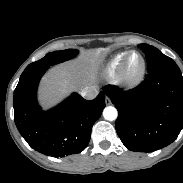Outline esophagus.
Returning <instances> with one entry per match:
<instances>
[{
	"label": "esophagus",
	"mask_w": 183,
	"mask_h": 183,
	"mask_svg": "<svg viewBox=\"0 0 183 183\" xmlns=\"http://www.w3.org/2000/svg\"><path fill=\"white\" fill-rule=\"evenodd\" d=\"M105 103H106V105H110L111 104V100H110V98L108 96H106Z\"/></svg>",
	"instance_id": "obj_1"
}]
</instances>
